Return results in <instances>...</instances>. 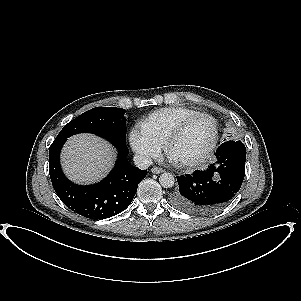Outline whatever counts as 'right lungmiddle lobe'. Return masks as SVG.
<instances>
[{
    "mask_svg": "<svg viewBox=\"0 0 301 301\" xmlns=\"http://www.w3.org/2000/svg\"><path fill=\"white\" fill-rule=\"evenodd\" d=\"M124 113V109L114 107L93 108L66 124L56 138H68L74 134L88 132L125 144Z\"/></svg>",
    "mask_w": 301,
    "mask_h": 301,
    "instance_id": "right-lung-middle-lobe-1",
    "label": "right lung middle lobe"
}]
</instances>
